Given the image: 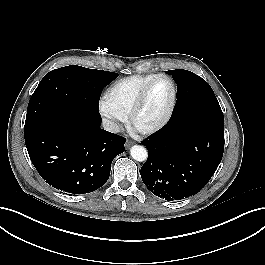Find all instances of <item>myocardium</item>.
I'll list each match as a JSON object with an SVG mask.
<instances>
[{
  "instance_id": "myocardium-1",
  "label": "myocardium",
  "mask_w": 265,
  "mask_h": 265,
  "mask_svg": "<svg viewBox=\"0 0 265 265\" xmlns=\"http://www.w3.org/2000/svg\"><path fill=\"white\" fill-rule=\"evenodd\" d=\"M161 78L167 79L172 86V99H171L170 105H169L165 115L163 116V118L159 122H157L156 124L149 126V127H144V128L138 127L136 124L137 116L141 112L142 108L144 107L152 86L154 85V83L158 79H161ZM177 96H178L177 85H176L175 81L173 80V78L167 74H164V73L156 74L144 86V88L140 92L137 100L135 101V103H134V105H133V107L129 113L130 126L136 132H138L142 135H153V134L161 131L163 128H165L167 126V124L170 122V120L173 116V113L175 111L176 104H177Z\"/></svg>"
}]
</instances>
